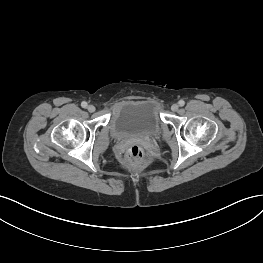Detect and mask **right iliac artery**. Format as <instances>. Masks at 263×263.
Instances as JSON below:
<instances>
[{"label": "right iliac artery", "instance_id": "right-iliac-artery-1", "mask_svg": "<svg viewBox=\"0 0 263 263\" xmlns=\"http://www.w3.org/2000/svg\"><path fill=\"white\" fill-rule=\"evenodd\" d=\"M87 102H85V101H83L82 103H81V106L83 107V108H86L87 107Z\"/></svg>", "mask_w": 263, "mask_h": 263}]
</instances>
